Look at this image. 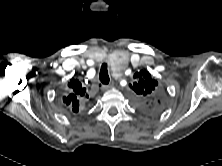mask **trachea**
<instances>
[{
	"label": "trachea",
	"mask_w": 222,
	"mask_h": 166,
	"mask_svg": "<svg viewBox=\"0 0 222 166\" xmlns=\"http://www.w3.org/2000/svg\"><path fill=\"white\" fill-rule=\"evenodd\" d=\"M99 79L103 84L109 83L110 79H109V75H108L107 64H105V63L101 67Z\"/></svg>",
	"instance_id": "3493384b"
}]
</instances>
